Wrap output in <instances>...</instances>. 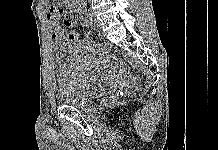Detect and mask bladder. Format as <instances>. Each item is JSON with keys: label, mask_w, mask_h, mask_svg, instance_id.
<instances>
[{"label": "bladder", "mask_w": 218, "mask_h": 150, "mask_svg": "<svg viewBox=\"0 0 218 150\" xmlns=\"http://www.w3.org/2000/svg\"><path fill=\"white\" fill-rule=\"evenodd\" d=\"M61 43L57 49V90L59 103L77 108L90 106L95 94L94 81L99 75V68L84 63L81 47L76 42Z\"/></svg>", "instance_id": "obj_1"}]
</instances>
